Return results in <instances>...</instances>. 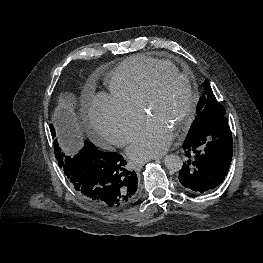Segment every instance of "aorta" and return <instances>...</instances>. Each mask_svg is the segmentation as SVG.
<instances>
[{
	"label": "aorta",
	"mask_w": 263,
	"mask_h": 263,
	"mask_svg": "<svg viewBox=\"0 0 263 263\" xmlns=\"http://www.w3.org/2000/svg\"><path fill=\"white\" fill-rule=\"evenodd\" d=\"M165 166L172 172H178L182 169L183 160L176 154L166 155L164 159Z\"/></svg>",
	"instance_id": "aorta-1"
}]
</instances>
